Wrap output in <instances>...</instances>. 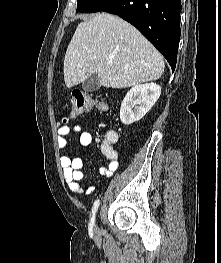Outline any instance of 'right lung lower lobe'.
Returning <instances> with one entry per match:
<instances>
[{"label": "right lung lower lobe", "mask_w": 221, "mask_h": 263, "mask_svg": "<svg viewBox=\"0 0 221 263\" xmlns=\"http://www.w3.org/2000/svg\"><path fill=\"white\" fill-rule=\"evenodd\" d=\"M181 0H104L93 12L116 14L135 26L174 71L180 41Z\"/></svg>", "instance_id": "98d812e1"}]
</instances>
